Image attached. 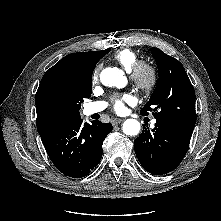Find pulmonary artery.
I'll return each instance as SVG.
<instances>
[{
	"label": "pulmonary artery",
	"mask_w": 221,
	"mask_h": 221,
	"mask_svg": "<svg viewBox=\"0 0 221 221\" xmlns=\"http://www.w3.org/2000/svg\"><path fill=\"white\" fill-rule=\"evenodd\" d=\"M106 107V103L99 101V102H93L90 103L89 105L86 106L85 108V112L87 115H91V114H95V113H99L102 110H104ZM155 120L152 121V124H155Z\"/></svg>",
	"instance_id": "1"
}]
</instances>
